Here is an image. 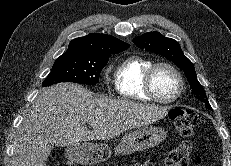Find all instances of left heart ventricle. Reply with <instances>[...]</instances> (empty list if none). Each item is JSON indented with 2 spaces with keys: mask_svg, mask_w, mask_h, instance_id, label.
<instances>
[{
  "mask_svg": "<svg viewBox=\"0 0 231 166\" xmlns=\"http://www.w3.org/2000/svg\"><path fill=\"white\" fill-rule=\"evenodd\" d=\"M153 85L157 94L165 99L173 97L178 90V79L168 68L157 69L153 78Z\"/></svg>",
  "mask_w": 231,
  "mask_h": 166,
  "instance_id": "left-heart-ventricle-1",
  "label": "left heart ventricle"
}]
</instances>
